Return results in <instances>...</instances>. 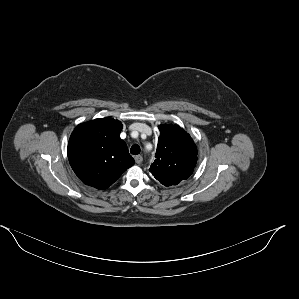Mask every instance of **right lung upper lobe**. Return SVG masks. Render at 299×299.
<instances>
[{
	"label": "right lung upper lobe",
	"instance_id": "cb5924a9",
	"mask_svg": "<svg viewBox=\"0 0 299 299\" xmlns=\"http://www.w3.org/2000/svg\"><path fill=\"white\" fill-rule=\"evenodd\" d=\"M122 124L111 118L79 124L68 142V159L75 174L97 189L111 186L134 159L120 138Z\"/></svg>",
	"mask_w": 299,
	"mask_h": 299
}]
</instances>
